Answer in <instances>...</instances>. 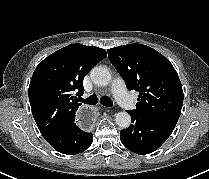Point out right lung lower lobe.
I'll list each match as a JSON object with an SVG mask.
<instances>
[{
  "mask_svg": "<svg viewBox=\"0 0 209 179\" xmlns=\"http://www.w3.org/2000/svg\"><path fill=\"white\" fill-rule=\"evenodd\" d=\"M46 140L58 152L72 155L85 151L91 145L93 135L81 130L73 121Z\"/></svg>",
  "mask_w": 209,
  "mask_h": 179,
  "instance_id": "right-lung-lower-lobe-1",
  "label": "right lung lower lobe"
}]
</instances>
